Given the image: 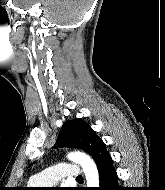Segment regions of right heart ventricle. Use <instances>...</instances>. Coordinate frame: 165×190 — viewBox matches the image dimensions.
Listing matches in <instances>:
<instances>
[{
	"label": "right heart ventricle",
	"mask_w": 165,
	"mask_h": 190,
	"mask_svg": "<svg viewBox=\"0 0 165 190\" xmlns=\"http://www.w3.org/2000/svg\"><path fill=\"white\" fill-rule=\"evenodd\" d=\"M34 186H36V184H34L33 182L29 183V187H34Z\"/></svg>",
	"instance_id": "obj_1"
}]
</instances>
